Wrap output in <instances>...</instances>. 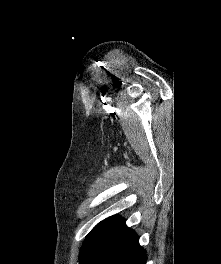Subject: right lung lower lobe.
Masks as SVG:
<instances>
[{
  "instance_id": "98d812e1",
  "label": "right lung lower lobe",
  "mask_w": 221,
  "mask_h": 264,
  "mask_svg": "<svg viewBox=\"0 0 221 264\" xmlns=\"http://www.w3.org/2000/svg\"><path fill=\"white\" fill-rule=\"evenodd\" d=\"M80 258V264H146L138 236L119 216L101 223Z\"/></svg>"
}]
</instances>
